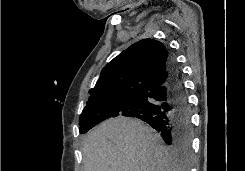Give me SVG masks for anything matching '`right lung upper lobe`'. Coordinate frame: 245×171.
<instances>
[{"label":"right lung upper lobe","instance_id":"cb5924a9","mask_svg":"<svg viewBox=\"0 0 245 171\" xmlns=\"http://www.w3.org/2000/svg\"><path fill=\"white\" fill-rule=\"evenodd\" d=\"M166 46L153 39L131 45L101 71L88 102L119 95H144L163 85L168 79Z\"/></svg>","mask_w":245,"mask_h":171}]
</instances>
